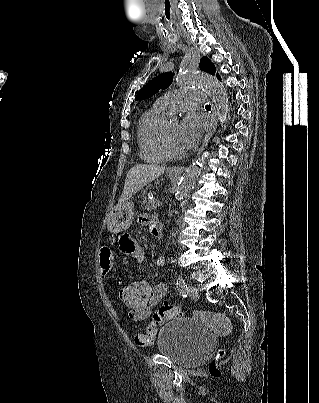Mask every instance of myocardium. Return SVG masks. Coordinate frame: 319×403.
Segmentation results:
<instances>
[{
    "label": "myocardium",
    "instance_id": "obj_1",
    "mask_svg": "<svg viewBox=\"0 0 319 403\" xmlns=\"http://www.w3.org/2000/svg\"><path fill=\"white\" fill-rule=\"evenodd\" d=\"M160 147L167 159L179 160L185 156V152L183 150L175 151L171 147L167 137L166 123L163 125L160 132Z\"/></svg>",
    "mask_w": 319,
    "mask_h": 403
}]
</instances>
